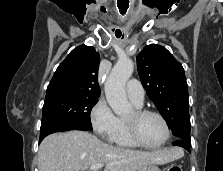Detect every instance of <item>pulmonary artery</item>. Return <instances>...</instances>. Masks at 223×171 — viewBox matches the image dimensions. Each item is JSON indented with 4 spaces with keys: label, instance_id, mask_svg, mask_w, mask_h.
Here are the masks:
<instances>
[{
    "label": "pulmonary artery",
    "instance_id": "pulmonary-artery-1",
    "mask_svg": "<svg viewBox=\"0 0 223 171\" xmlns=\"http://www.w3.org/2000/svg\"><path fill=\"white\" fill-rule=\"evenodd\" d=\"M126 92L129 97V99L135 104L141 106L144 102V88L141 85V83L136 80L132 79L128 81L126 85Z\"/></svg>",
    "mask_w": 223,
    "mask_h": 171
}]
</instances>
